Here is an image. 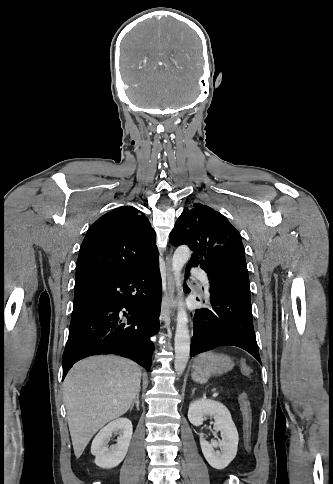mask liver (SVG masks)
<instances>
[{"label":"liver","instance_id":"obj_1","mask_svg":"<svg viewBox=\"0 0 333 484\" xmlns=\"http://www.w3.org/2000/svg\"><path fill=\"white\" fill-rule=\"evenodd\" d=\"M140 383L139 366L118 356L89 357L70 369L63 398L76 458L99 429L129 410Z\"/></svg>","mask_w":333,"mask_h":484}]
</instances>
